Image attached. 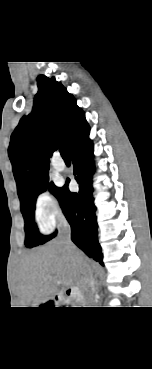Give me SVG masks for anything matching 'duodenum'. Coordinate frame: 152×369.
I'll return each instance as SVG.
<instances>
[{"label":"duodenum","instance_id":"410a0bca","mask_svg":"<svg viewBox=\"0 0 152 369\" xmlns=\"http://www.w3.org/2000/svg\"><path fill=\"white\" fill-rule=\"evenodd\" d=\"M65 299L71 302L82 303L84 296L78 288H70L65 292Z\"/></svg>","mask_w":152,"mask_h":369}]
</instances>
